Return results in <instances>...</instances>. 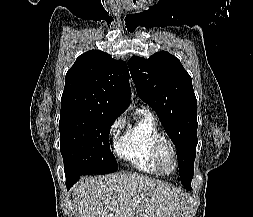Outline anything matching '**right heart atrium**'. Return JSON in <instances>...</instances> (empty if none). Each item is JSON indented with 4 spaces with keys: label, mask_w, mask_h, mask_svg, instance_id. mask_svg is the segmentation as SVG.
<instances>
[{
    "label": "right heart atrium",
    "mask_w": 253,
    "mask_h": 217,
    "mask_svg": "<svg viewBox=\"0 0 253 217\" xmlns=\"http://www.w3.org/2000/svg\"><path fill=\"white\" fill-rule=\"evenodd\" d=\"M122 126V119L118 118L116 119L110 126V132L112 134H116L119 132L120 128Z\"/></svg>",
    "instance_id": "1"
}]
</instances>
